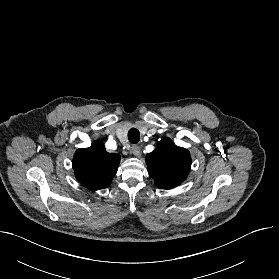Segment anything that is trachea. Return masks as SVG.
<instances>
[{
	"instance_id": "obj_1",
	"label": "trachea",
	"mask_w": 279,
	"mask_h": 279,
	"mask_svg": "<svg viewBox=\"0 0 279 279\" xmlns=\"http://www.w3.org/2000/svg\"><path fill=\"white\" fill-rule=\"evenodd\" d=\"M128 139L130 143H138L140 140V133L136 128H131L128 132Z\"/></svg>"
}]
</instances>
